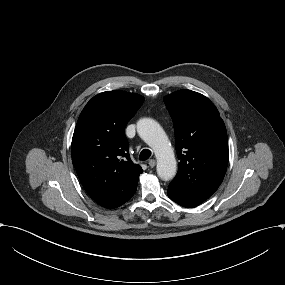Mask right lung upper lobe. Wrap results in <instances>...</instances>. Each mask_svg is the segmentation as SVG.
Here are the masks:
<instances>
[{
	"label": "right lung upper lobe",
	"instance_id": "cb5924a9",
	"mask_svg": "<svg viewBox=\"0 0 285 285\" xmlns=\"http://www.w3.org/2000/svg\"><path fill=\"white\" fill-rule=\"evenodd\" d=\"M144 98L121 90L93 97L81 112L72 138V162L90 197L113 209L135 193L143 172L129 156L124 133Z\"/></svg>",
	"mask_w": 285,
	"mask_h": 285
}]
</instances>
